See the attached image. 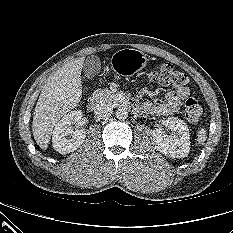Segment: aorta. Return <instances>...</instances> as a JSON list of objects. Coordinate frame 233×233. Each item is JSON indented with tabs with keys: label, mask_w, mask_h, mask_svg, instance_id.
I'll list each match as a JSON object with an SVG mask.
<instances>
[{
	"label": "aorta",
	"mask_w": 233,
	"mask_h": 233,
	"mask_svg": "<svg viewBox=\"0 0 233 233\" xmlns=\"http://www.w3.org/2000/svg\"><path fill=\"white\" fill-rule=\"evenodd\" d=\"M116 117H117L119 120H125V119H127V117H128V111H127L125 108H119V109L116 111Z\"/></svg>",
	"instance_id": "obj_1"
}]
</instances>
